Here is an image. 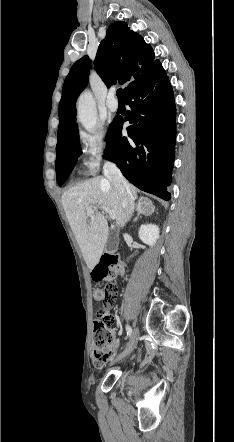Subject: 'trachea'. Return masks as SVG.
Returning <instances> with one entry per match:
<instances>
[{"label": "trachea", "instance_id": "1", "mask_svg": "<svg viewBox=\"0 0 234 442\" xmlns=\"http://www.w3.org/2000/svg\"><path fill=\"white\" fill-rule=\"evenodd\" d=\"M118 100H123L122 89L119 88L116 93Z\"/></svg>", "mask_w": 234, "mask_h": 442}]
</instances>
